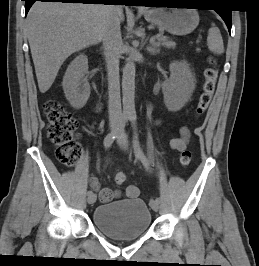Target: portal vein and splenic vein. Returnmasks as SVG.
Instances as JSON below:
<instances>
[{"instance_id":"18ae733b","label":"portal vein and splenic vein","mask_w":259,"mask_h":266,"mask_svg":"<svg viewBox=\"0 0 259 266\" xmlns=\"http://www.w3.org/2000/svg\"><path fill=\"white\" fill-rule=\"evenodd\" d=\"M157 38V37H156ZM151 42H154V38L153 39H151Z\"/></svg>"}]
</instances>
